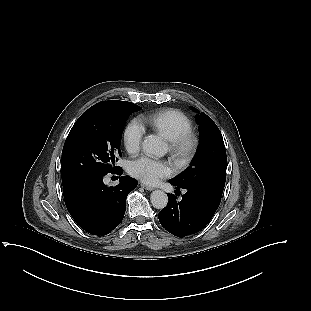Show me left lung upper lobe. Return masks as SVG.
Listing matches in <instances>:
<instances>
[{"mask_svg":"<svg viewBox=\"0 0 311 311\" xmlns=\"http://www.w3.org/2000/svg\"><path fill=\"white\" fill-rule=\"evenodd\" d=\"M196 120L201 133L196 154L190 166L170 181L180 187L200 189L221 199L227 164L223 137L217 125L206 114H197Z\"/></svg>","mask_w":311,"mask_h":311,"instance_id":"obj_1","label":"left lung upper lobe"}]
</instances>
